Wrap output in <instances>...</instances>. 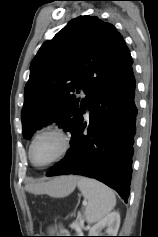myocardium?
<instances>
[{
  "label": "myocardium",
  "instance_id": "obj_1",
  "mask_svg": "<svg viewBox=\"0 0 158 237\" xmlns=\"http://www.w3.org/2000/svg\"><path fill=\"white\" fill-rule=\"evenodd\" d=\"M48 133H52V134H56L58 135L61 140H62V149L59 152V154L53 158L52 160H50L49 162L43 164V165H38L34 162L33 157H32V150H33V146L36 142V140L44 135V134H48ZM71 148V138L70 135L68 134V132L62 128L61 126L58 125H52V126H46L44 128H42L41 130H39L32 138L31 143L29 145V151H28V156H29V160L31 162V164L39 169H44L47 168L53 164H55L56 162L60 161L62 158H64L67 153L69 152Z\"/></svg>",
  "mask_w": 158,
  "mask_h": 237
}]
</instances>
